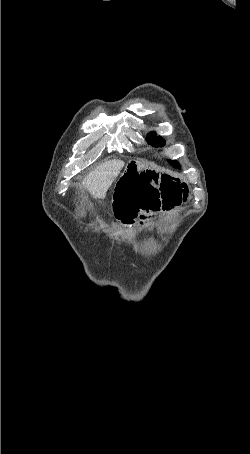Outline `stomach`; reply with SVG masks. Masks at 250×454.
<instances>
[{"label":"stomach","mask_w":250,"mask_h":454,"mask_svg":"<svg viewBox=\"0 0 250 454\" xmlns=\"http://www.w3.org/2000/svg\"><path fill=\"white\" fill-rule=\"evenodd\" d=\"M121 176H157V173L138 162L132 161L127 164Z\"/></svg>","instance_id":"stomach-1"}]
</instances>
